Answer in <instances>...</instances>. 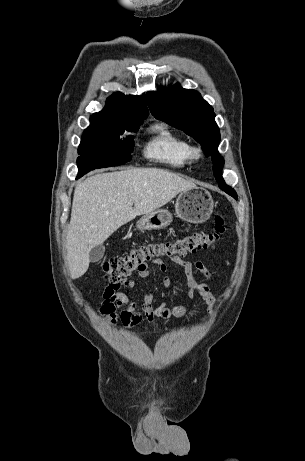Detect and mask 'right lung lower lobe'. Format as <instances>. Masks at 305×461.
<instances>
[{
	"label": "right lung lower lobe",
	"mask_w": 305,
	"mask_h": 461,
	"mask_svg": "<svg viewBox=\"0 0 305 461\" xmlns=\"http://www.w3.org/2000/svg\"><path fill=\"white\" fill-rule=\"evenodd\" d=\"M82 175H84V174H82V173L78 172V177H80V176H82Z\"/></svg>",
	"instance_id": "right-lung-lower-lobe-1"
}]
</instances>
